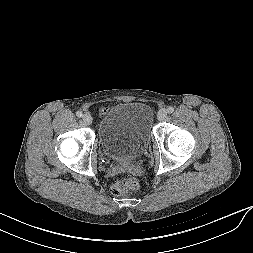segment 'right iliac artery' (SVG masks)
<instances>
[{
	"label": "right iliac artery",
	"mask_w": 253,
	"mask_h": 253,
	"mask_svg": "<svg viewBox=\"0 0 253 253\" xmlns=\"http://www.w3.org/2000/svg\"><path fill=\"white\" fill-rule=\"evenodd\" d=\"M76 116L79 117V118H81L83 116V113L81 111H77L76 112Z\"/></svg>",
	"instance_id": "right-iliac-artery-1"
}]
</instances>
